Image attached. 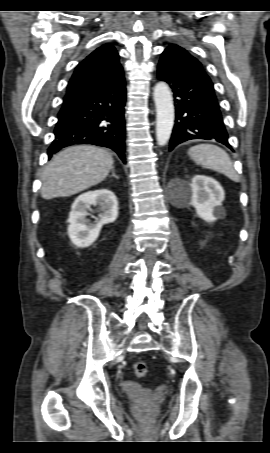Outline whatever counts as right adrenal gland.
Wrapping results in <instances>:
<instances>
[{
	"mask_svg": "<svg viewBox=\"0 0 270 453\" xmlns=\"http://www.w3.org/2000/svg\"><path fill=\"white\" fill-rule=\"evenodd\" d=\"M111 177H114V178H116V179H119V177L115 174L114 168L112 169Z\"/></svg>",
	"mask_w": 270,
	"mask_h": 453,
	"instance_id": "obj_1",
	"label": "right adrenal gland"
}]
</instances>
